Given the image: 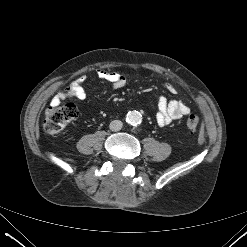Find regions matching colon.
I'll list each match as a JSON object with an SVG mask.
<instances>
[{"label":"colon","instance_id":"obj_1","mask_svg":"<svg viewBox=\"0 0 247 247\" xmlns=\"http://www.w3.org/2000/svg\"><path fill=\"white\" fill-rule=\"evenodd\" d=\"M78 115L77 108L74 104L64 105L52 103L45 112L44 130L49 135L60 133L70 122L76 119ZM199 125V117L192 113L187 118L186 126L189 132L196 131Z\"/></svg>","mask_w":247,"mask_h":247}]
</instances>
